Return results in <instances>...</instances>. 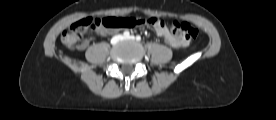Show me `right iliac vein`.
I'll return each mask as SVG.
<instances>
[{
  "mask_svg": "<svg viewBox=\"0 0 276 120\" xmlns=\"http://www.w3.org/2000/svg\"><path fill=\"white\" fill-rule=\"evenodd\" d=\"M121 39H122L121 36H115L112 41H113V43H116V42L120 41Z\"/></svg>",
  "mask_w": 276,
  "mask_h": 120,
  "instance_id": "1",
  "label": "right iliac vein"
}]
</instances>
